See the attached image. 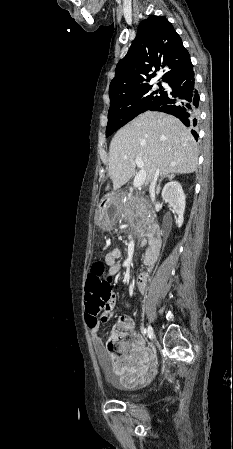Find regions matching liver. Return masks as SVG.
I'll return each mask as SVG.
<instances>
[{"label":"liver","mask_w":233,"mask_h":449,"mask_svg":"<svg viewBox=\"0 0 233 449\" xmlns=\"http://www.w3.org/2000/svg\"><path fill=\"white\" fill-rule=\"evenodd\" d=\"M140 157L145 183L154 174H188L196 171L198 148L184 124L172 115L148 111L133 119L113 137L109 147L108 175L117 190L133 176Z\"/></svg>","instance_id":"liver-1"}]
</instances>
